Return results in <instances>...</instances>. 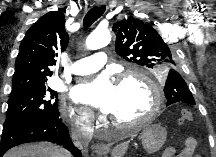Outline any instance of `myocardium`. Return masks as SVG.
<instances>
[{"label": "myocardium", "instance_id": "f54148a6", "mask_svg": "<svg viewBox=\"0 0 216 157\" xmlns=\"http://www.w3.org/2000/svg\"><path fill=\"white\" fill-rule=\"evenodd\" d=\"M128 79L139 80L148 87L151 94L150 109L147 112V114L144 115L142 118L132 122H123L114 118L113 116L110 117V120L117 125H122L127 127H139L144 124L150 123L151 121L154 120V118L158 115L161 108L163 107L164 97L157 83L141 69L133 68L123 72L119 77L118 86L122 85L124 81Z\"/></svg>", "mask_w": 216, "mask_h": 157}]
</instances>
